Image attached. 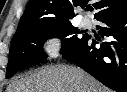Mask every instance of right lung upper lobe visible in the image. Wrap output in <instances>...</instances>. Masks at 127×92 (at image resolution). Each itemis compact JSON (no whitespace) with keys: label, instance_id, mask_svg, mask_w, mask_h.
Segmentation results:
<instances>
[{"label":"right lung upper lobe","instance_id":"obj_1","mask_svg":"<svg viewBox=\"0 0 127 92\" xmlns=\"http://www.w3.org/2000/svg\"><path fill=\"white\" fill-rule=\"evenodd\" d=\"M89 0H30L12 39L36 26H59L71 23L73 6L84 8ZM95 19L127 8V0H96Z\"/></svg>","mask_w":127,"mask_h":92}]
</instances>
